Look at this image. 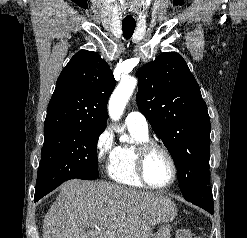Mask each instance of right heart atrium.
I'll list each match as a JSON object with an SVG mask.
<instances>
[{
    "instance_id": "1",
    "label": "right heart atrium",
    "mask_w": 247,
    "mask_h": 238,
    "mask_svg": "<svg viewBox=\"0 0 247 238\" xmlns=\"http://www.w3.org/2000/svg\"><path fill=\"white\" fill-rule=\"evenodd\" d=\"M114 150V139L109 127L104 128L98 135L95 144L96 158L102 162L105 158L110 157Z\"/></svg>"
}]
</instances>
